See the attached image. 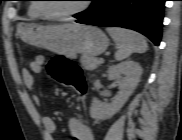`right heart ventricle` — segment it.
<instances>
[{
    "label": "right heart ventricle",
    "instance_id": "obj_1",
    "mask_svg": "<svg viewBox=\"0 0 182 140\" xmlns=\"http://www.w3.org/2000/svg\"><path fill=\"white\" fill-rule=\"evenodd\" d=\"M36 5L35 4H31L29 6V14L33 17H38L39 14L37 13L36 9H35Z\"/></svg>",
    "mask_w": 182,
    "mask_h": 140
}]
</instances>
